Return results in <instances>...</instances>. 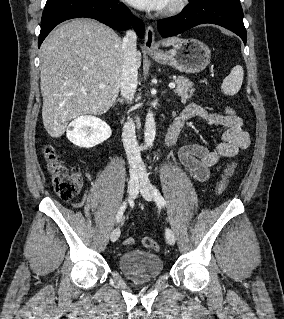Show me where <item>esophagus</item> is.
Wrapping results in <instances>:
<instances>
[{"instance_id":"34e87169","label":"esophagus","mask_w":284,"mask_h":319,"mask_svg":"<svg viewBox=\"0 0 284 319\" xmlns=\"http://www.w3.org/2000/svg\"><path fill=\"white\" fill-rule=\"evenodd\" d=\"M144 50L147 52H156L158 47L155 43V32L151 25L146 28L145 40H144Z\"/></svg>"}]
</instances>
